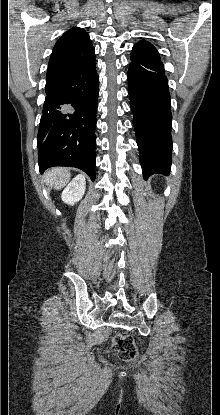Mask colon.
Listing matches in <instances>:
<instances>
[{"mask_svg":"<svg viewBox=\"0 0 220 415\" xmlns=\"http://www.w3.org/2000/svg\"><path fill=\"white\" fill-rule=\"evenodd\" d=\"M112 348L117 356L124 361H131L137 356V348L130 336L115 334L112 340Z\"/></svg>","mask_w":220,"mask_h":415,"instance_id":"obj_1","label":"colon"}]
</instances>
